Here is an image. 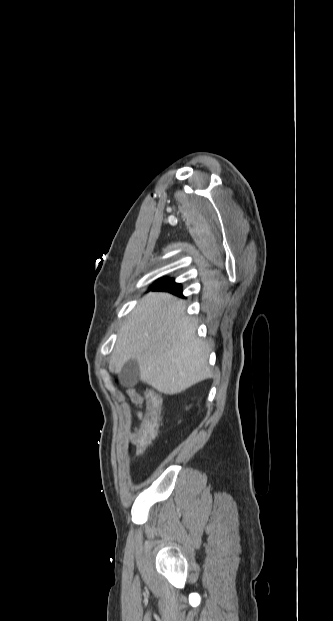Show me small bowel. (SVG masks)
I'll use <instances>...</instances> for the list:
<instances>
[{"instance_id":"1","label":"small bowel","mask_w":333,"mask_h":621,"mask_svg":"<svg viewBox=\"0 0 333 621\" xmlns=\"http://www.w3.org/2000/svg\"><path fill=\"white\" fill-rule=\"evenodd\" d=\"M149 392H150V390L146 391L145 397H143V396L138 394L133 389L127 390V395L130 398V400L133 403V405L135 406V416H136L137 420H139V421H143V419H144L145 414L143 413L142 409L144 407L145 400L148 401V399H149ZM131 439H132V441L134 443L137 442V439H138V432L137 431H133L131 433Z\"/></svg>"}]
</instances>
